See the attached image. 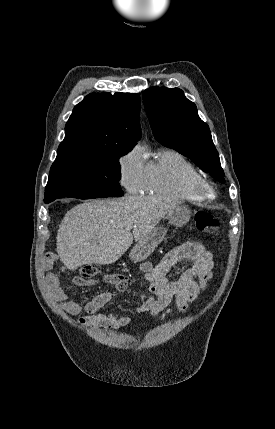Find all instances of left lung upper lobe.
Listing matches in <instances>:
<instances>
[{
  "label": "left lung upper lobe",
  "instance_id": "left-lung-upper-lobe-1",
  "mask_svg": "<svg viewBox=\"0 0 275 429\" xmlns=\"http://www.w3.org/2000/svg\"><path fill=\"white\" fill-rule=\"evenodd\" d=\"M143 101L155 139L189 157L215 180L225 183L210 129L183 91L155 86L143 92Z\"/></svg>",
  "mask_w": 275,
  "mask_h": 429
}]
</instances>
